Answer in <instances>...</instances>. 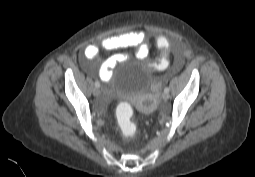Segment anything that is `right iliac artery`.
I'll return each mask as SVG.
<instances>
[{"label": "right iliac artery", "mask_w": 255, "mask_h": 177, "mask_svg": "<svg viewBox=\"0 0 255 177\" xmlns=\"http://www.w3.org/2000/svg\"><path fill=\"white\" fill-rule=\"evenodd\" d=\"M95 86H96L97 88H99V87H100V83H99V81H95Z\"/></svg>", "instance_id": "1"}]
</instances>
